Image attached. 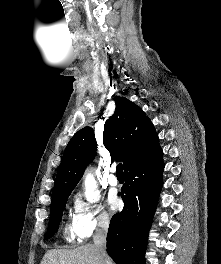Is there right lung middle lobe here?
Returning a JSON list of instances; mask_svg holds the SVG:
<instances>
[{"label": "right lung middle lobe", "instance_id": "1", "mask_svg": "<svg viewBox=\"0 0 221 264\" xmlns=\"http://www.w3.org/2000/svg\"><path fill=\"white\" fill-rule=\"evenodd\" d=\"M70 193L58 196L51 200L50 220L44 239H49L57 230L61 221L63 209L65 208Z\"/></svg>", "mask_w": 221, "mask_h": 264}]
</instances>
